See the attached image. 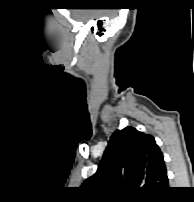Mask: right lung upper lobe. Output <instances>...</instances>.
I'll return each mask as SVG.
<instances>
[{"label": "right lung upper lobe", "mask_w": 194, "mask_h": 202, "mask_svg": "<svg viewBox=\"0 0 194 202\" xmlns=\"http://www.w3.org/2000/svg\"><path fill=\"white\" fill-rule=\"evenodd\" d=\"M167 185L163 154L154 137L133 127L113 133L96 173L83 183L101 194L138 198L158 195Z\"/></svg>", "instance_id": "1"}]
</instances>
